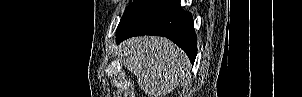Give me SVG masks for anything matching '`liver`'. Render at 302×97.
Instances as JSON below:
<instances>
[{"mask_svg": "<svg viewBox=\"0 0 302 97\" xmlns=\"http://www.w3.org/2000/svg\"><path fill=\"white\" fill-rule=\"evenodd\" d=\"M119 52L125 68L136 75L139 88L149 97H166L189 75L187 55L164 37H133Z\"/></svg>", "mask_w": 302, "mask_h": 97, "instance_id": "obj_1", "label": "liver"}]
</instances>
